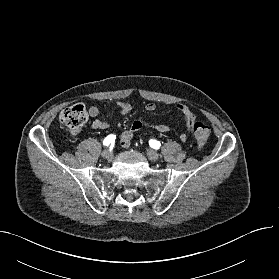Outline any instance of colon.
Masks as SVG:
<instances>
[{
	"label": "colon",
	"mask_w": 279,
	"mask_h": 279,
	"mask_svg": "<svg viewBox=\"0 0 279 279\" xmlns=\"http://www.w3.org/2000/svg\"><path fill=\"white\" fill-rule=\"evenodd\" d=\"M59 119L72 133H77L86 123L88 113L83 104H74L64 109ZM193 131L198 148H204L210 135L209 127L202 122H196Z\"/></svg>",
	"instance_id": "colon-1"
}]
</instances>
